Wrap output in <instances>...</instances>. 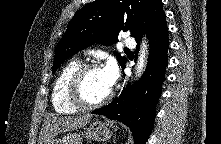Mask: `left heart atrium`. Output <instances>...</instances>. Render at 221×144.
<instances>
[{
  "instance_id": "1",
  "label": "left heart atrium",
  "mask_w": 221,
  "mask_h": 144,
  "mask_svg": "<svg viewBox=\"0 0 221 144\" xmlns=\"http://www.w3.org/2000/svg\"><path fill=\"white\" fill-rule=\"evenodd\" d=\"M101 70L107 86L111 88L115 84L118 77V69L116 63L113 60H110Z\"/></svg>"
}]
</instances>
